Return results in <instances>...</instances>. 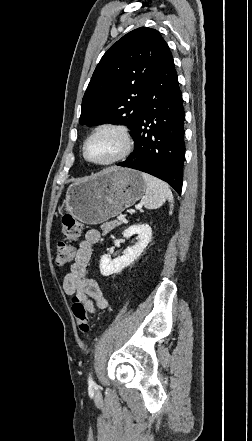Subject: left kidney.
Instances as JSON below:
<instances>
[{"label": "left kidney", "instance_id": "5707ae66", "mask_svg": "<svg viewBox=\"0 0 252 441\" xmlns=\"http://www.w3.org/2000/svg\"><path fill=\"white\" fill-rule=\"evenodd\" d=\"M137 235V242L132 247H127L122 256L112 260L110 256L103 255L100 260V272L103 276H109L121 272L137 259L149 244L152 237V229L148 224L132 225L123 232L125 238Z\"/></svg>", "mask_w": 252, "mask_h": 441}]
</instances>
